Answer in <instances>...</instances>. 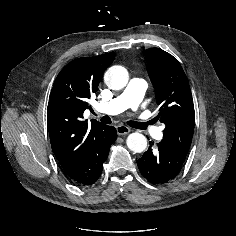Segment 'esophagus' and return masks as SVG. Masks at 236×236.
Masks as SVG:
<instances>
[{"label":"esophagus","mask_w":236,"mask_h":236,"mask_svg":"<svg viewBox=\"0 0 236 236\" xmlns=\"http://www.w3.org/2000/svg\"><path fill=\"white\" fill-rule=\"evenodd\" d=\"M116 130H117L118 135H126L131 131L129 127L124 126V125L117 126Z\"/></svg>","instance_id":"1"}]
</instances>
